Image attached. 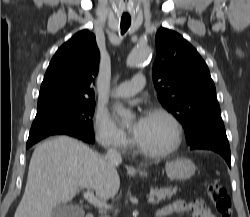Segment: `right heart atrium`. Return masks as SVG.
<instances>
[{"label":"right heart atrium","instance_id":"1","mask_svg":"<svg viewBox=\"0 0 250 217\" xmlns=\"http://www.w3.org/2000/svg\"><path fill=\"white\" fill-rule=\"evenodd\" d=\"M94 132L97 141L105 148L126 151L130 147L127 134L105 112L96 113Z\"/></svg>","mask_w":250,"mask_h":217}]
</instances>
